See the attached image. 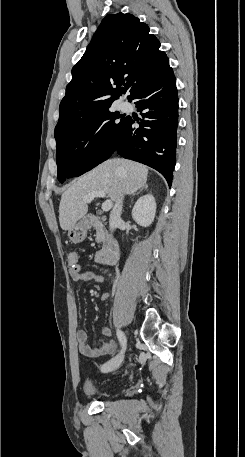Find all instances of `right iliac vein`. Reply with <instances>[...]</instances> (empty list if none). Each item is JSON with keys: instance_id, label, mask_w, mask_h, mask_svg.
I'll return each instance as SVG.
<instances>
[{"instance_id": "right-iliac-vein-1", "label": "right iliac vein", "mask_w": 245, "mask_h": 457, "mask_svg": "<svg viewBox=\"0 0 245 457\" xmlns=\"http://www.w3.org/2000/svg\"><path fill=\"white\" fill-rule=\"evenodd\" d=\"M123 359H124V355H120L118 357L112 358L111 360L107 361L106 363H104L102 365L101 371L104 373H107V372L117 369L120 366V364L122 363Z\"/></svg>"}]
</instances>
